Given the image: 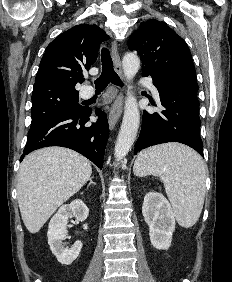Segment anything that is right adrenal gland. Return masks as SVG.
<instances>
[{
    "instance_id": "right-adrenal-gland-1",
    "label": "right adrenal gland",
    "mask_w": 232,
    "mask_h": 282,
    "mask_svg": "<svg viewBox=\"0 0 232 282\" xmlns=\"http://www.w3.org/2000/svg\"><path fill=\"white\" fill-rule=\"evenodd\" d=\"M92 179H93V177H91V178L89 179V184L87 185V188H88L91 184H93V185L96 184V183H94V182L92 181Z\"/></svg>"
}]
</instances>
